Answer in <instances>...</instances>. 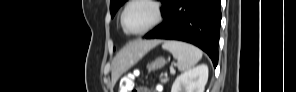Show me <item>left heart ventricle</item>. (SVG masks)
Here are the masks:
<instances>
[{"label": "left heart ventricle", "mask_w": 296, "mask_h": 92, "mask_svg": "<svg viewBox=\"0 0 296 92\" xmlns=\"http://www.w3.org/2000/svg\"><path fill=\"white\" fill-rule=\"evenodd\" d=\"M154 10L146 3H134L125 13V26L129 31L146 28L154 20Z\"/></svg>", "instance_id": "left-heart-ventricle-1"}]
</instances>
